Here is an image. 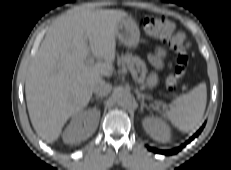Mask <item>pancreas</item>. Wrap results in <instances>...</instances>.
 Segmentation results:
<instances>
[{
    "instance_id": "1",
    "label": "pancreas",
    "mask_w": 231,
    "mask_h": 170,
    "mask_svg": "<svg viewBox=\"0 0 231 170\" xmlns=\"http://www.w3.org/2000/svg\"><path fill=\"white\" fill-rule=\"evenodd\" d=\"M118 66H121L123 69H134L136 67V72H140L141 75L138 78L140 83L144 82L145 75L147 73L146 65L140 57L132 55L131 53L122 54L117 59Z\"/></svg>"
}]
</instances>
